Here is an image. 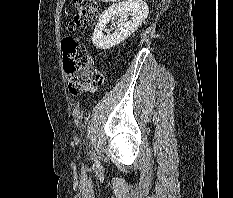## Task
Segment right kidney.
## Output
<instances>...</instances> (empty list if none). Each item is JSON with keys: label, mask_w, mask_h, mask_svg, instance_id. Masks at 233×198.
Segmentation results:
<instances>
[{"label": "right kidney", "mask_w": 233, "mask_h": 198, "mask_svg": "<svg viewBox=\"0 0 233 198\" xmlns=\"http://www.w3.org/2000/svg\"><path fill=\"white\" fill-rule=\"evenodd\" d=\"M149 13L148 5L143 0H125L108 7L99 17L92 36L93 45L97 49H110L135 32ZM132 16L129 20L128 17ZM114 17L120 19L113 33L103 34L105 26Z\"/></svg>", "instance_id": "obj_1"}]
</instances>
